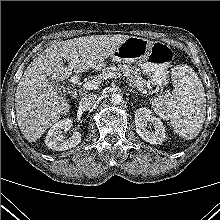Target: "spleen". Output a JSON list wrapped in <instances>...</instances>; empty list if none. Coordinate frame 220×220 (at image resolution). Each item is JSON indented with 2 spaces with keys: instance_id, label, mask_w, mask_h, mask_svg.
<instances>
[{
  "instance_id": "obj_1",
  "label": "spleen",
  "mask_w": 220,
  "mask_h": 220,
  "mask_svg": "<svg viewBox=\"0 0 220 220\" xmlns=\"http://www.w3.org/2000/svg\"><path fill=\"white\" fill-rule=\"evenodd\" d=\"M171 98L154 99V110L170 119L174 131L186 140L193 139L202 129L206 116V98L203 85L194 70L177 65L172 71Z\"/></svg>"
}]
</instances>
